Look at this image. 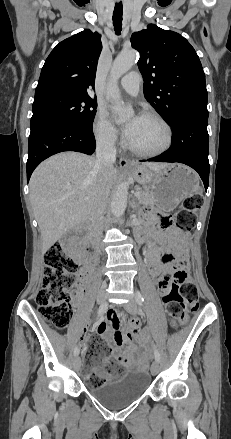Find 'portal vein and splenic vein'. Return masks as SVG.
Masks as SVG:
<instances>
[{
	"mask_svg": "<svg viewBox=\"0 0 231 439\" xmlns=\"http://www.w3.org/2000/svg\"><path fill=\"white\" fill-rule=\"evenodd\" d=\"M135 196H136V197H139V196H140V193H139V192H136V193H135Z\"/></svg>",
	"mask_w": 231,
	"mask_h": 439,
	"instance_id": "18ae733b",
	"label": "portal vein and splenic vein"
}]
</instances>
